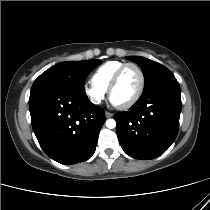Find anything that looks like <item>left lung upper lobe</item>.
I'll return each mask as SVG.
<instances>
[{"mask_svg":"<svg viewBox=\"0 0 210 210\" xmlns=\"http://www.w3.org/2000/svg\"><path fill=\"white\" fill-rule=\"evenodd\" d=\"M127 59L136 62L141 67L145 77L144 91L160 82L175 78L165 66L150 59L140 56H127Z\"/></svg>","mask_w":210,"mask_h":210,"instance_id":"1","label":"left lung upper lobe"}]
</instances>
